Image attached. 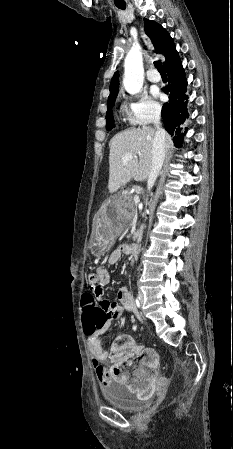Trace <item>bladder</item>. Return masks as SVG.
I'll return each mask as SVG.
<instances>
[{
  "label": "bladder",
  "instance_id": "bladder-1",
  "mask_svg": "<svg viewBox=\"0 0 233 449\" xmlns=\"http://www.w3.org/2000/svg\"><path fill=\"white\" fill-rule=\"evenodd\" d=\"M103 396L113 408L124 411H135L145 408L147 401L135 398L132 390L120 384H112L103 390Z\"/></svg>",
  "mask_w": 233,
  "mask_h": 449
}]
</instances>
